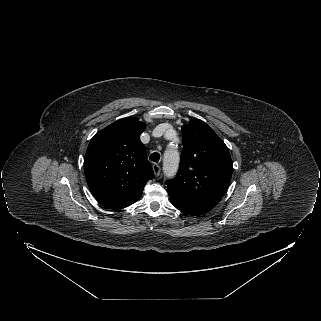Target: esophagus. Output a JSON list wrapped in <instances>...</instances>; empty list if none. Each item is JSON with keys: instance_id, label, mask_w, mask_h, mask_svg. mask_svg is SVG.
Returning <instances> with one entry per match:
<instances>
[{"instance_id": "obj_1", "label": "esophagus", "mask_w": 321, "mask_h": 321, "mask_svg": "<svg viewBox=\"0 0 321 321\" xmlns=\"http://www.w3.org/2000/svg\"><path fill=\"white\" fill-rule=\"evenodd\" d=\"M152 168H153L155 176L158 177L160 175V173H161L160 165L155 163V164L152 165Z\"/></svg>"}]
</instances>
